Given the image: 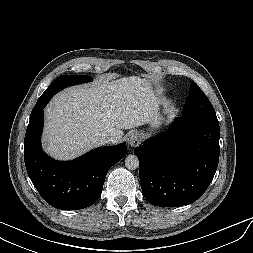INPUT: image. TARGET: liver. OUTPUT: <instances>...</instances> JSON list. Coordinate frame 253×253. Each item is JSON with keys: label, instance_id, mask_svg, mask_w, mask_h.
Listing matches in <instances>:
<instances>
[{"label": "liver", "instance_id": "6515ba94", "mask_svg": "<svg viewBox=\"0 0 253 253\" xmlns=\"http://www.w3.org/2000/svg\"><path fill=\"white\" fill-rule=\"evenodd\" d=\"M157 107L151 83L136 76L68 88L45 109V151L55 159H73L101 146L102 132L120 142L123 129L152 123Z\"/></svg>", "mask_w": 253, "mask_h": 253}]
</instances>
